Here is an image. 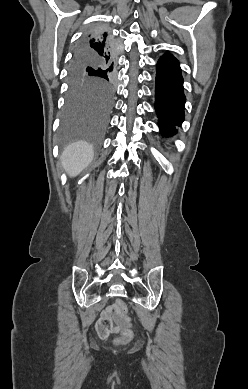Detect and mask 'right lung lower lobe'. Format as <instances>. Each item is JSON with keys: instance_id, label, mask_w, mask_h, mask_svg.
Masks as SVG:
<instances>
[{"instance_id": "obj_1", "label": "right lung lower lobe", "mask_w": 248, "mask_h": 389, "mask_svg": "<svg viewBox=\"0 0 248 389\" xmlns=\"http://www.w3.org/2000/svg\"><path fill=\"white\" fill-rule=\"evenodd\" d=\"M100 37H101L104 41H106V45L104 46L105 49H103V48H101V47H98V48L101 49L102 51H104V50L107 51V49L110 47V44H111L112 42H111V40H110V38H109V36H108L107 33H102V32H100ZM103 40H99V41L95 42V44L93 45V47H94V48H97V47H95V46H99L100 43H104ZM79 47L81 48V50H82V52H83L84 54L92 56V53H91L87 48H85V39L80 43ZM99 49H97V50H99Z\"/></svg>"}]
</instances>
